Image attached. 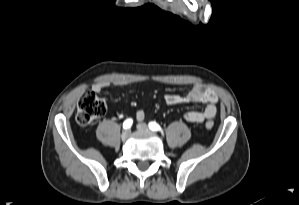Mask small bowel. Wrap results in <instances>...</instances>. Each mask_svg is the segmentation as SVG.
Returning <instances> with one entry per match:
<instances>
[{
	"label": "small bowel",
	"mask_w": 299,
	"mask_h": 205,
	"mask_svg": "<svg viewBox=\"0 0 299 205\" xmlns=\"http://www.w3.org/2000/svg\"><path fill=\"white\" fill-rule=\"evenodd\" d=\"M109 83L99 82L92 86V91L99 93L103 89L107 88ZM164 101L168 105H179L187 103H200L204 105L202 111H189L185 114V119L190 123H202L207 119H211L216 115L218 96L217 94L204 87L201 84H194L190 91L186 95H180L175 93H168L164 96ZM145 117L143 110H138L136 113V119L142 121Z\"/></svg>",
	"instance_id": "small-bowel-1"
}]
</instances>
